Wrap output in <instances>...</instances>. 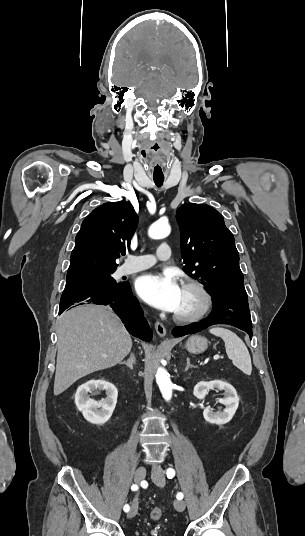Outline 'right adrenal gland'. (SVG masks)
<instances>
[{
	"label": "right adrenal gland",
	"instance_id": "obj_1",
	"mask_svg": "<svg viewBox=\"0 0 305 536\" xmlns=\"http://www.w3.org/2000/svg\"><path fill=\"white\" fill-rule=\"evenodd\" d=\"M121 364H125L130 370H133V366L136 364L135 354H130L129 360H127V362H121Z\"/></svg>",
	"mask_w": 305,
	"mask_h": 536
}]
</instances>
